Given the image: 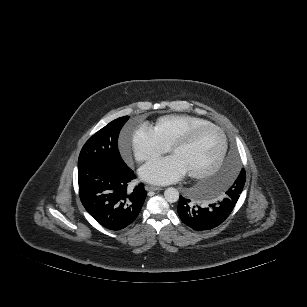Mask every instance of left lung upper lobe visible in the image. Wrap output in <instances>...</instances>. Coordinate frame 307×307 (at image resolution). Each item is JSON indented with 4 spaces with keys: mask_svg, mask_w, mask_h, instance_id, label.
I'll use <instances>...</instances> for the list:
<instances>
[{
    "mask_svg": "<svg viewBox=\"0 0 307 307\" xmlns=\"http://www.w3.org/2000/svg\"><path fill=\"white\" fill-rule=\"evenodd\" d=\"M245 180H246L245 170L242 169L240 174L238 175L237 179L234 181L232 186L228 189L226 194L233 195V196L239 198V196H240V194L243 190Z\"/></svg>",
    "mask_w": 307,
    "mask_h": 307,
    "instance_id": "left-lung-upper-lobe-1",
    "label": "left lung upper lobe"
}]
</instances>
